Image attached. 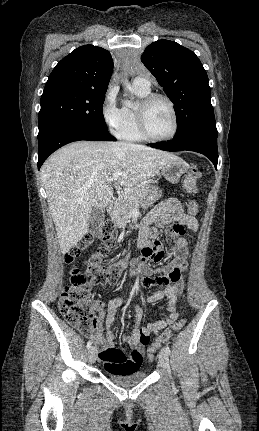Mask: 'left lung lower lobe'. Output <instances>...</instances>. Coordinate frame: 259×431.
<instances>
[{
    "mask_svg": "<svg viewBox=\"0 0 259 431\" xmlns=\"http://www.w3.org/2000/svg\"><path fill=\"white\" fill-rule=\"evenodd\" d=\"M217 136L218 132L199 129L174 136L171 141L150 144V146L166 151L189 150L201 153L207 156L217 169Z\"/></svg>",
    "mask_w": 259,
    "mask_h": 431,
    "instance_id": "obj_1",
    "label": "left lung lower lobe"
}]
</instances>
